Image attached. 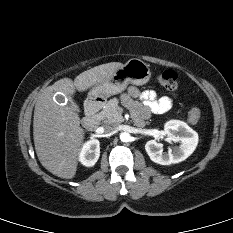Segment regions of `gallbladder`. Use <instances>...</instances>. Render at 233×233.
Masks as SVG:
<instances>
[{
	"instance_id": "obj_1",
	"label": "gallbladder",
	"mask_w": 233,
	"mask_h": 233,
	"mask_svg": "<svg viewBox=\"0 0 233 233\" xmlns=\"http://www.w3.org/2000/svg\"><path fill=\"white\" fill-rule=\"evenodd\" d=\"M69 105L71 106L73 110L79 112V107L75 103H70Z\"/></svg>"
}]
</instances>
